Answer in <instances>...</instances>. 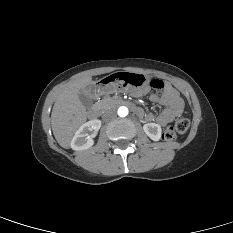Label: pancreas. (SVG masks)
Wrapping results in <instances>:
<instances>
[{
	"label": "pancreas",
	"mask_w": 233,
	"mask_h": 233,
	"mask_svg": "<svg viewBox=\"0 0 233 233\" xmlns=\"http://www.w3.org/2000/svg\"><path fill=\"white\" fill-rule=\"evenodd\" d=\"M97 106L100 107L101 109H109L115 106V99L111 97H106L100 101H98Z\"/></svg>",
	"instance_id": "obj_1"
}]
</instances>
